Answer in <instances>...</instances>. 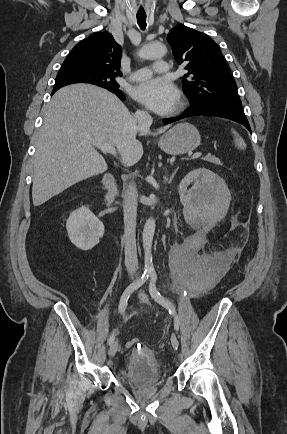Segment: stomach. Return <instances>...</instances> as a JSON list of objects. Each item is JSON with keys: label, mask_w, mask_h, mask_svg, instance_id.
<instances>
[{"label": "stomach", "mask_w": 287, "mask_h": 434, "mask_svg": "<svg viewBox=\"0 0 287 434\" xmlns=\"http://www.w3.org/2000/svg\"><path fill=\"white\" fill-rule=\"evenodd\" d=\"M197 128L189 123H179L167 131L159 140V147L167 154L182 155L200 145Z\"/></svg>", "instance_id": "stomach-1"}]
</instances>
